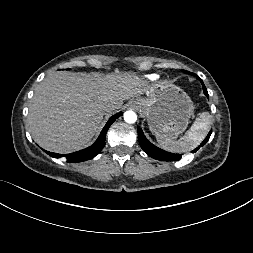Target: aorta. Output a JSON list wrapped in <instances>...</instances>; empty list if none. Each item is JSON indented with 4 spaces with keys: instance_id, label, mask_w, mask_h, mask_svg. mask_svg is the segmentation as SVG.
Here are the masks:
<instances>
[{
    "instance_id": "762f6f07",
    "label": "aorta",
    "mask_w": 253,
    "mask_h": 253,
    "mask_svg": "<svg viewBox=\"0 0 253 253\" xmlns=\"http://www.w3.org/2000/svg\"><path fill=\"white\" fill-rule=\"evenodd\" d=\"M124 120L127 123H135L137 120V115L135 112L129 110L124 113Z\"/></svg>"
}]
</instances>
